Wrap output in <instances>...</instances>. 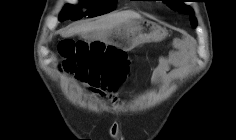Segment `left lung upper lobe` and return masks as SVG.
Segmentation results:
<instances>
[{
  "mask_svg": "<svg viewBox=\"0 0 236 140\" xmlns=\"http://www.w3.org/2000/svg\"><path fill=\"white\" fill-rule=\"evenodd\" d=\"M165 2L171 7L172 9L184 13V14H189L191 15V24L193 27L196 26V19L193 17L194 12L193 10L189 7L183 4V0H165Z\"/></svg>",
  "mask_w": 236,
  "mask_h": 140,
  "instance_id": "5c2ea615",
  "label": "left lung upper lobe"
}]
</instances>
